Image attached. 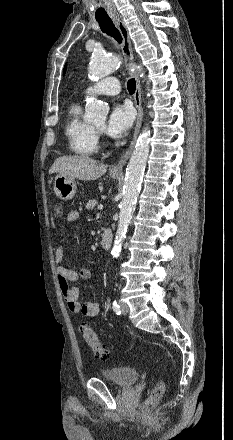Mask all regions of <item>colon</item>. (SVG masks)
I'll return each instance as SVG.
<instances>
[{
    "mask_svg": "<svg viewBox=\"0 0 233 440\" xmlns=\"http://www.w3.org/2000/svg\"><path fill=\"white\" fill-rule=\"evenodd\" d=\"M62 214V206L56 205L54 207V215L56 217H60L62 216ZM79 328L83 335L84 341L91 347L94 356L103 360L108 359L110 357V351L101 343L94 330L85 322H82ZM164 390V381L162 379H159L153 386L149 397L144 403V409L151 410L152 408H154L162 398Z\"/></svg>",
    "mask_w": 233,
    "mask_h": 440,
    "instance_id": "obj_1",
    "label": "colon"
}]
</instances>
